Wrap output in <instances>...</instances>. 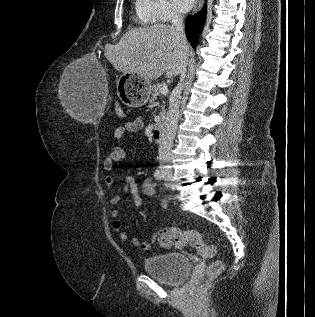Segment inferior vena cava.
Returning <instances> with one entry per match:
<instances>
[{
    "instance_id": "602c4592",
    "label": "inferior vena cava",
    "mask_w": 315,
    "mask_h": 317,
    "mask_svg": "<svg viewBox=\"0 0 315 317\" xmlns=\"http://www.w3.org/2000/svg\"><path fill=\"white\" fill-rule=\"evenodd\" d=\"M172 26L176 29L177 35L181 38V40L186 41L182 15L178 13L172 14ZM185 75L186 66H184L181 70L180 82L175 88L174 94L170 99L169 110L165 118L162 137L159 143V161L162 164L161 169L163 171L169 170V167L165 166V164L171 160L172 144L179 121V97L183 89Z\"/></svg>"
}]
</instances>
